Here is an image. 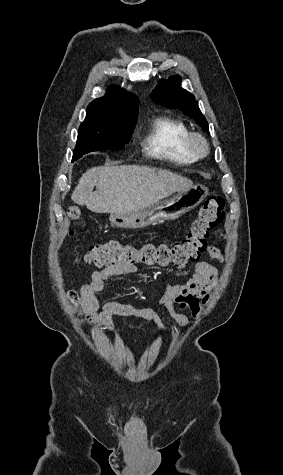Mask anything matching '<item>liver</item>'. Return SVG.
I'll use <instances>...</instances> for the list:
<instances>
[{"instance_id": "obj_1", "label": "liver", "mask_w": 283, "mask_h": 475, "mask_svg": "<svg viewBox=\"0 0 283 475\" xmlns=\"http://www.w3.org/2000/svg\"><path fill=\"white\" fill-rule=\"evenodd\" d=\"M94 186L96 192H93ZM192 186L191 180L169 170L149 166H99L83 174L71 200L96 214H125L138 212Z\"/></svg>"}]
</instances>
